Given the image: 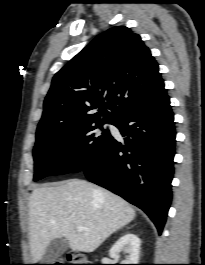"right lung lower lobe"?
<instances>
[{"label": "right lung lower lobe", "instance_id": "right-lung-lower-lobe-1", "mask_svg": "<svg viewBox=\"0 0 205 265\" xmlns=\"http://www.w3.org/2000/svg\"><path fill=\"white\" fill-rule=\"evenodd\" d=\"M113 125L126 136L124 141L111 137L83 172L145 211L161 234L172 197L176 134L166 90Z\"/></svg>", "mask_w": 205, "mask_h": 265}]
</instances>
